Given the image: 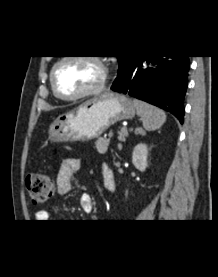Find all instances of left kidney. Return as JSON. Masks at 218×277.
I'll return each instance as SVG.
<instances>
[{"label":"left kidney","mask_w":218,"mask_h":277,"mask_svg":"<svg viewBox=\"0 0 218 277\" xmlns=\"http://www.w3.org/2000/svg\"><path fill=\"white\" fill-rule=\"evenodd\" d=\"M148 148L146 144H138L134 147L132 153V162L136 169L144 172L148 166L147 161Z\"/></svg>","instance_id":"left-kidney-1"}]
</instances>
